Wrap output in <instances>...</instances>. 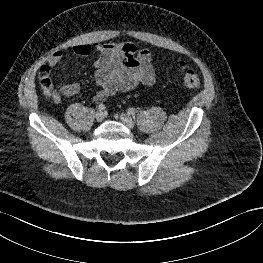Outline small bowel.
<instances>
[{
  "label": "small bowel",
  "mask_w": 263,
  "mask_h": 263,
  "mask_svg": "<svg viewBox=\"0 0 263 263\" xmlns=\"http://www.w3.org/2000/svg\"><path fill=\"white\" fill-rule=\"evenodd\" d=\"M92 50L98 53L94 62L95 81L100 87L94 101H103L116 93H125L138 87L148 88L155 83L157 71L150 51L140 43L117 42L75 45L71 52L76 57H86ZM66 56L65 51H56L49 59L53 67ZM80 91L78 83L59 85L53 101L61 103L63 97L75 96Z\"/></svg>",
  "instance_id": "1"
}]
</instances>
